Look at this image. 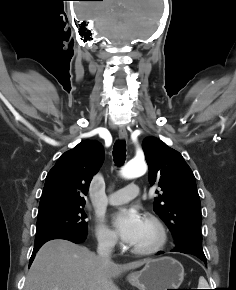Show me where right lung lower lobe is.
Masks as SVG:
<instances>
[{"instance_id":"1","label":"right lung lower lobe","mask_w":236,"mask_h":290,"mask_svg":"<svg viewBox=\"0 0 236 290\" xmlns=\"http://www.w3.org/2000/svg\"><path fill=\"white\" fill-rule=\"evenodd\" d=\"M53 239H65V240H69L71 242L74 243H81L86 239V234H67V233H60V234H54L45 238H42L40 240H36L35 241V245H34V249H33V253L32 256L30 258L29 261V266L31 265V263L33 262V259L35 257V254L37 253V251L39 250V248L47 241L49 240H53Z\"/></svg>"}]
</instances>
